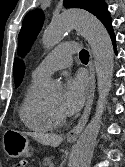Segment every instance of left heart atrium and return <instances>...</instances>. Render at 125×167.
I'll return each mask as SVG.
<instances>
[{"label": "left heart atrium", "instance_id": "left-heart-atrium-1", "mask_svg": "<svg viewBox=\"0 0 125 167\" xmlns=\"http://www.w3.org/2000/svg\"><path fill=\"white\" fill-rule=\"evenodd\" d=\"M87 91V80L80 74L68 76L61 96L60 109L65 115H73L82 107Z\"/></svg>", "mask_w": 125, "mask_h": 167}]
</instances>
